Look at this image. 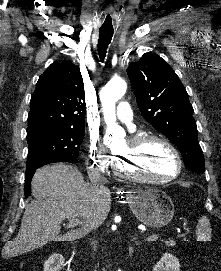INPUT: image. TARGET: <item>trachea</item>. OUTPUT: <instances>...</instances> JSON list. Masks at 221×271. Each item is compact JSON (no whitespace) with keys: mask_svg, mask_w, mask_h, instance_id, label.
Instances as JSON below:
<instances>
[{"mask_svg":"<svg viewBox=\"0 0 221 271\" xmlns=\"http://www.w3.org/2000/svg\"><path fill=\"white\" fill-rule=\"evenodd\" d=\"M113 36V27H101L99 30L98 54L101 61L106 56V50Z\"/></svg>","mask_w":221,"mask_h":271,"instance_id":"trachea-1","label":"trachea"}]
</instances>
